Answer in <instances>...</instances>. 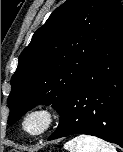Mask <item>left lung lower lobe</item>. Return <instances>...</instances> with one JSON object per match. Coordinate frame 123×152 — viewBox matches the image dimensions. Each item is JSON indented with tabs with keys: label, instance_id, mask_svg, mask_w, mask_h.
<instances>
[{
	"label": "left lung lower lobe",
	"instance_id": "0a47b994",
	"mask_svg": "<svg viewBox=\"0 0 123 152\" xmlns=\"http://www.w3.org/2000/svg\"><path fill=\"white\" fill-rule=\"evenodd\" d=\"M74 134L123 148V9L82 77L68 95L48 140Z\"/></svg>",
	"mask_w": 123,
	"mask_h": 152
}]
</instances>
